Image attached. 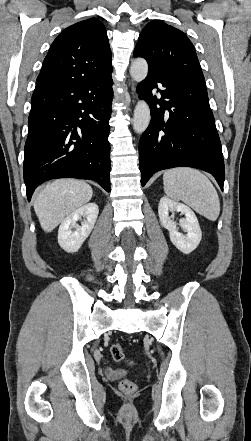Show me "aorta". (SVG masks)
Listing matches in <instances>:
<instances>
[{
    "mask_svg": "<svg viewBox=\"0 0 251 441\" xmlns=\"http://www.w3.org/2000/svg\"><path fill=\"white\" fill-rule=\"evenodd\" d=\"M148 74V64L145 59L137 58L131 63L130 75L136 82L143 81ZM150 108L144 100H139L133 117V128L136 133H143L150 123Z\"/></svg>",
    "mask_w": 251,
    "mask_h": 441,
    "instance_id": "762f6f07",
    "label": "aorta"
}]
</instances>
